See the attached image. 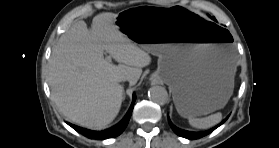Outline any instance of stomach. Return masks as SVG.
<instances>
[{
    "label": "stomach",
    "mask_w": 279,
    "mask_h": 148,
    "mask_svg": "<svg viewBox=\"0 0 279 148\" xmlns=\"http://www.w3.org/2000/svg\"><path fill=\"white\" fill-rule=\"evenodd\" d=\"M115 24L134 44L159 57L153 77L170 87L182 117L207 115L226 105L236 58L219 26L175 5L147 3L127 7Z\"/></svg>",
    "instance_id": "obj_1"
}]
</instances>
